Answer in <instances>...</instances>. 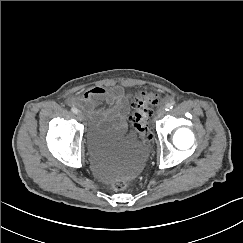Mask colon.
Here are the masks:
<instances>
[{"instance_id": "colon-1", "label": "colon", "mask_w": 243, "mask_h": 243, "mask_svg": "<svg viewBox=\"0 0 243 243\" xmlns=\"http://www.w3.org/2000/svg\"><path fill=\"white\" fill-rule=\"evenodd\" d=\"M158 104V97L154 93L140 92L132 103L133 112L130 120L133 124L134 133L144 144H149L152 139L151 118L154 107ZM128 182L124 179H116L112 183L115 191H123L127 188Z\"/></svg>"}]
</instances>
